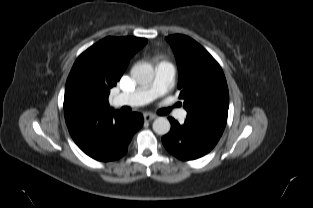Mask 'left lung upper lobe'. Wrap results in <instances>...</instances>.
<instances>
[{
    "label": "left lung upper lobe",
    "instance_id": "left-lung-upper-lobe-1",
    "mask_svg": "<svg viewBox=\"0 0 313 208\" xmlns=\"http://www.w3.org/2000/svg\"><path fill=\"white\" fill-rule=\"evenodd\" d=\"M179 69V98L184 100L187 119L224 129L227 122L229 92L217 61L196 41L185 35L166 37Z\"/></svg>",
    "mask_w": 313,
    "mask_h": 208
}]
</instances>
